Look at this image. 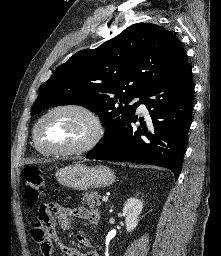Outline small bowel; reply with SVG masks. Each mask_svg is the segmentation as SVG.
<instances>
[{"label": "small bowel", "mask_w": 221, "mask_h": 256, "mask_svg": "<svg viewBox=\"0 0 221 256\" xmlns=\"http://www.w3.org/2000/svg\"><path fill=\"white\" fill-rule=\"evenodd\" d=\"M73 218L87 220L93 225H97L100 220L99 211L85 207L67 208L58 204L45 203L39 208L38 219L33 227V239L40 247L43 256H52L55 241L60 250L66 256H100L96 250L81 252L76 248L64 244L57 233V225L63 230H68L73 224ZM78 242L86 248L91 247V240L86 235H77Z\"/></svg>", "instance_id": "1"}]
</instances>
